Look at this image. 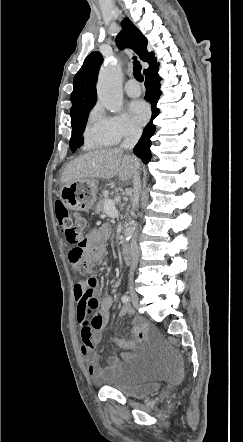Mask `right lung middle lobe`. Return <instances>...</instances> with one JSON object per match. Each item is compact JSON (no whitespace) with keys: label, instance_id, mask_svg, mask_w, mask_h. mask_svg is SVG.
Segmentation results:
<instances>
[{"label":"right lung middle lobe","instance_id":"dd1d6c3e","mask_svg":"<svg viewBox=\"0 0 243 442\" xmlns=\"http://www.w3.org/2000/svg\"><path fill=\"white\" fill-rule=\"evenodd\" d=\"M89 111L82 113L75 121L71 122L72 136L70 139V148L75 151L77 147L83 144L82 131L85 129L87 115Z\"/></svg>","mask_w":243,"mask_h":442}]
</instances>
